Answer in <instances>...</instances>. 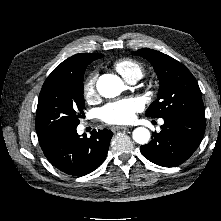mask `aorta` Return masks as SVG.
I'll list each match as a JSON object with an SVG mask.
<instances>
[{"label": "aorta", "instance_id": "aorta-1", "mask_svg": "<svg viewBox=\"0 0 221 221\" xmlns=\"http://www.w3.org/2000/svg\"><path fill=\"white\" fill-rule=\"evenodd\" d=\"M97 90L105 98H113L120 95L124 90L121 78L113 74H104L97 81ZM133 140L138 144H147L150 140V131L145 127H138L132 133Z\"/></svg>", "mask_w": 221, "mask_h": 221}]
</instances>
